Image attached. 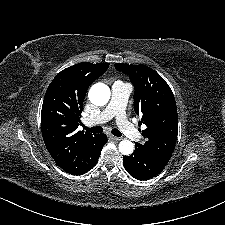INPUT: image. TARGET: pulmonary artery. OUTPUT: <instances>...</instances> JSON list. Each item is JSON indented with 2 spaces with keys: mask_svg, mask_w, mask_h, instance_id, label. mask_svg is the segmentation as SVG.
Returning a JSON list of instances; mask_svg holds the SVG:
<instances>
[{
  "mask_svg": "<svg viewBox=\"0 0 225 225\" xmlns=\"http://www.w3.org/2000/svg\"><path fill=\"white\" fill-rule=\"evenodd\" d=\"M132 91V86L128 83L115 82L112 86V95L109 104L95 118L85 120L87 126L105 123L112 117H116L121 129L124 130L132 140H139L140 134L129 122L125 114V107L128 97Z\"/></svg>",
  "mask_w": 225,
  "mask_h": 225,
  "instance_id": "e3ab8cb5",
  "label": "pulmonary artery"
}]
</instances>
